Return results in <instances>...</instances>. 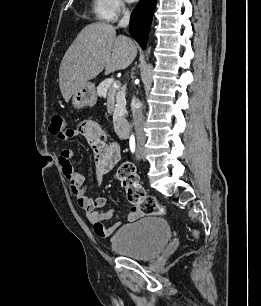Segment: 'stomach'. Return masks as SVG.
Instances as JSON below:
<instances>
[{
	"mask_svg": "<svg viewBox=\"0 0 261 306\" xmlns=\"http://www.w3.org/2000/svg\"><path fill=\"white\" fill-rule=\"evenodd\" d=\"M97 102L95 85L91 82L83 84L72 97V105L76 109L86 106L92 107Z\"/></svg>",
	"mask_w": 261,
	"mask_h": 306,
	"instance_id": "0dacf381",
	"label": "stomach"
}]
</instances>
